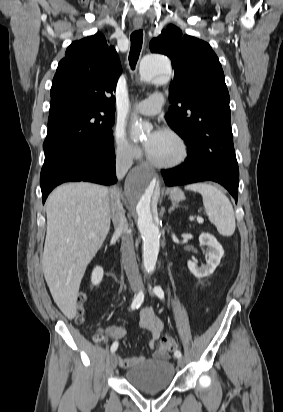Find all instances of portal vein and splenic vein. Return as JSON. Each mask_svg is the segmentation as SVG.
I'll return each instance as SVG.
<instances>
[{
    "label": "portal vein and splenic vein",
    "instance_id": "1",
    "mask_svg": "<svg viewBox=\"0 0 283 412\" xmlns=\"http://www.w3.org/2000/svg\"><path fill=\"white\" fill-rule=\"evenodd\" d=\"M203 221H204V220H203L202 217H197V222H198V223H203Z\"/></svg>",
    "mask_w": 283,
    "mask_h": 412
}]
</instances>
